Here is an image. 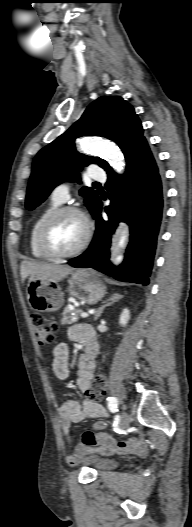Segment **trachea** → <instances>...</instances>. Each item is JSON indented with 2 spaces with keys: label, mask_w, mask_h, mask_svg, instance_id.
<instances>
[{
  "label": "trachea",
  "mask_w": 192,
  "mask_h": 527,
  "mask_svg": "<svg viewBox=\"0 0 192 527\" xmlns=\"http://www.w3.org/2000/svg\"><path fill=\"white\" fill-rule=\"evenodd\" d=\"M94 185H97V186H99V185H100V183H98V182H94Z\"/></svg>",
  "instance_id": "trachea-1"
}]
</instances>
